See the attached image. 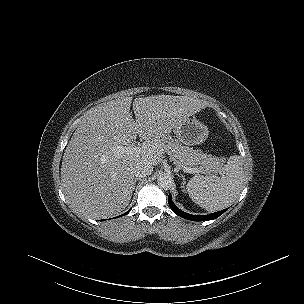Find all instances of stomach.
<instances>
[{
	"label": "stomach",
	"instance_id": "0dacf381",
	"mask_svg": "<svg viewBox=\"0 0 304 304\" xmlns=\"http://www.w3.org/2000/svg\"><path fill=\"white\" fill-rule=\"evenodd\" d=\"M177 139L186 145L203 143L208 137V128L196 118H185L174 128Z\"/></svg>",
	"mask_w": 304,
	"mask_h": 304
}]
</instances>
